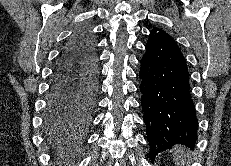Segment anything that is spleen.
<instances>
[{
	"mask_svg": "<svg viewBox=\"0 0 231 166\" xmlns=\"http://www.w3.org/2000/svg\"><path fill=\"white\" fill-rule=\"evenodd\" d=\"M174 158L181 166L185 165L186 159H189V151L182 146L174 147Z\"/></svg>",
	"mask_w": 231,
	"mask_h": 166,
	"instance_id": "1",
	"label": "spleen"
}]
</instances>
